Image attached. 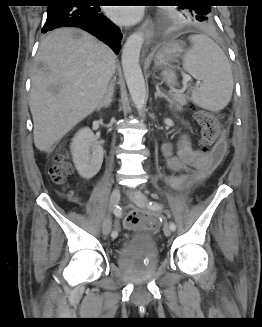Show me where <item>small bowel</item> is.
<instances>
[{"mask_svg": "<svg viewBox=\"0 0 262 327\" xmlns=\"http://www.w3.org/2000/svg\"><path fill=\"white\" fill-rule=\"evenodd\" d=\"M166 164L172 172L168 182L172 188H188L192 183L206 176L216 164H208L209 155L191 147L187 136H181L176 153L170 143L163 145Z\"/></svg>", "mask_w": 262, "mask_h": 327, "instance_id": "small-bowel-1", "label": "small bowel"}]
</instances>
